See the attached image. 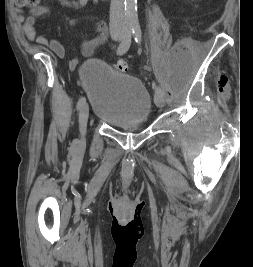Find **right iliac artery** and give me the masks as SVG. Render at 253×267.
Instances as JSON below:
<instances>
[{
	"label": "right iliac artery",
	"instance_id": "1",
	"mask_svg": "<svg viewBox=\"0 0 253 267\" xmlns=\"http://www.w3.org/2000/svg\"><path fill=\"white\" fill-rule=\"evenodd\" d=\"M133 35V29H127L123 33L122 41L117 48V54L123 55L126 53L131 45ZM86 103L85 97H81L77 102V109H81L83 105Z\"/></svg>",
	"mask_w": 253,
	"mask_h": 267
}]
</instances>
